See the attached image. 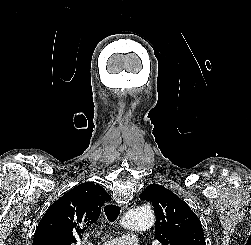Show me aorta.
<instances>
[{
    "label": "aorta",
    "instance_id": "aorta-1",
    "mask_svg": "<svg viewBox=\"0 0 251 245\" xmlns=\"http://www.w3.org/2000/svg\"><path fill=\"white\" fill-rule=\"evenodd\" d=\"M154 224V214L150 208L136 207L128 211L121 222L123 228L130 231L149 229Z\"/></svg>",
    "mask_w": 251,
    "mask_h": 245
}]
</instances>
